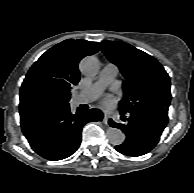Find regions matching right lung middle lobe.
<instances>
[{
    "label": "right lung middle lobe",
    "instance_id": "obj_1",
    "mask_svg": "<svg viewBox=\"0 0 194 193\" xmlns=\"http://www.w3.org/2000/svg\"><path fill=\"white\" fill-rule=\"evenodd\" d=\"M69 100L70 97L60 99H42L33 108L24 107L22 110L20 109V114L32 113L33 109H35L36 111H40L63 107L69 104Z\"/></svg>",
    "mask_w": 194,
    "mask_h": 193
}]
</instances>
